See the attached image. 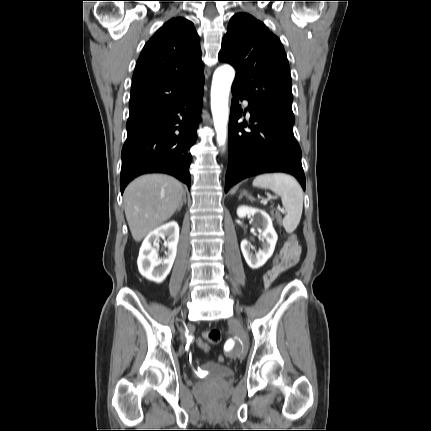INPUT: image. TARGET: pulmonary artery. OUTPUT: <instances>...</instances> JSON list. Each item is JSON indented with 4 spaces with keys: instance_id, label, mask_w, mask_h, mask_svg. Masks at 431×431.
Instances as JSON below:
<instances>
[{
    "instance_id": "pulmonary-artery-1",
    "label": "pulmonary artery",
    "mask_w": 431,
    "mask_h": 431,
    "mask_svg": "<svg viewBox=\"0 0 431 431\" xmlns=\"http://www.w3.org/2000/svg\"><path fill=\"white\" fill-rule=\"evenodd\" d=\"M245 106L247 107L248 105H247V103H245ZM248 114H249V112H248Z\"/></svg>"
}]
</instances>
